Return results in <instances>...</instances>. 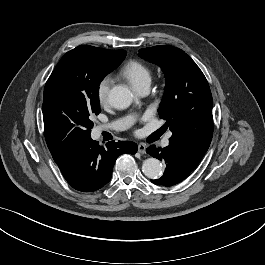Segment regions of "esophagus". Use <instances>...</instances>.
Returning a JSON list of instances; mask_svg holds the SVG:
<instances>
[{"label": "esophagus", "instance_id": "1", "mask_svg": "<svg viewBox=\"0 0 265 265\" xmlns=\"http://www.w3.org/2000/svg\"><path fill=\"white\" fill-rule=\"evenodd\" d=\"M147 146L144 143H139L138 144V152L141 154L146 153Z\"/></svg>", "mask_w": 265, "mask_h": 265}]
</instances>
